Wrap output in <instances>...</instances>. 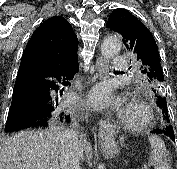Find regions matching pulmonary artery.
Returning <instances> with one entry per match:
<instances>
[{
  "mask_svg": "<svg viewBox=\"0 0 177 169\" xmlns=\"http://www.w3.org/2000/svg\"><path fill=\"white\" fill-rule=\"evenodd\" d=\"M127 64H128L127 60L122 56L115 57L113 60V67L115 69L125 68L127 66Z\"/></svg>",
  "mask_w": 177,
  "mask_h": 169,
  "instance_id": "e3ab8cb5",
  "label": "pulmonary artery"
}]
</instances>
